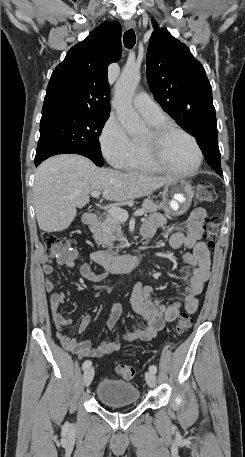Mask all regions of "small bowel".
<instances>
[{"label":"small bowel","instance_id":"small-bowel-1","mask_svg":"<svg viewBox=\"0 0 245 457\" xmlns=\"http://www.w3.org/2000/svg\"><path fill=\"white\" fill-rule=\"evenodd\" d=\"M206 210L197 207L192 210L188 219L184 222V232H176L171 235L169 243L174 249L186 247L191 252L184 254L183 259L188 268L183 274L185 286L183 288L184 300L175 301L169 305L162 304L153 294V288L143 282L135 284L131 294V304L134 311L146 322L143 329H133L124 334L116 341H104L99 346L93 347L91 341H78L66 334L64 329L71 325V319L65 317L60 307L65 300V294L55 289L54 259L60 265L72 268L75 266L76 252L71 255H58L55 258L49 255L41 257L42 269L45 275L44 288L50 293V310L60 343L69 351L82 357H102L120 350L126 343L135 340L150 341L158 332L164 329L166 323L173 322L184 306L188 314H193L199 306L198 296L203 290L204 283L210 277V254L206 245L201 241L206 219ZM166 219L161 213L151 214L142 228L145 241L152 239L156 232L164 227ZM78 270L81 276L91 282H101L107 277L106 272L95 273L88 264H80ZM111 313L107 321V327L113 329L121 315V306L110 303ZM91 318L85 315L78 324L77 331L82 333L86 330Z\"/></svg>","mask_w":245,"mask_h":457}]
</instances>
